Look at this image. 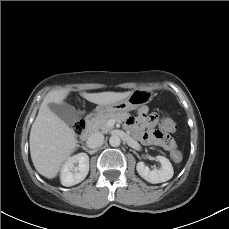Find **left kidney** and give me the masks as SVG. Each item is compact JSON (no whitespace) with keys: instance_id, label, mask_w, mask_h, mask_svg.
Returning <instances> with one entry per match:
<instances>
[{"instance_id":"left-kidney-1","label":"left kidney","mask_w":229,"mask_h":229,"mask_svg":"<svg viewBox=\"0 0 229 229\" xmlns=\"http://www.w3.org/2000/svg\"><path fill=\"white\" fill-rule=\"evenodd\" d=\"M156 160L161 163V167L153 170H150L144 162H138L136 166L138 174L152 184L170 180L173 177L174 171L169 159L164 156H156Z\"/></svg>"}]
</instances>
